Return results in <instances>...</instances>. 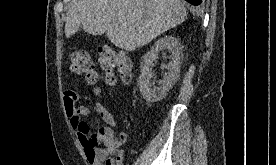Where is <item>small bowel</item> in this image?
<instances>
[{
    "mask_svg": "<svg viewBox=\"0 0 276 165\" xmlns=\"http://www.w3.org/2000/svg\"><path fill=\"white\" fill-rule=\"evenodd\" d=\"M83 97L87 104L99 113L106 124V126L99 127L97 133L93 136H89L81 129V124L90 114V109L88 106L77 105L80 94L73 90L66 91L63 96V104L90 165H123L122 160L125 150L116 151L120 146L127 143V134L121 132L116 137L114 132L116 119L114 115L102 103L94 101L86 95H83ZM91 140L93 143H90ZM99 143H103L104 147H99Z\"/></svg>",
    "mask_w": 276,
    "mask_h": 165,
    "instance_id": "c3829d8e",
    "label": "small bowel"
}]
</instances>
